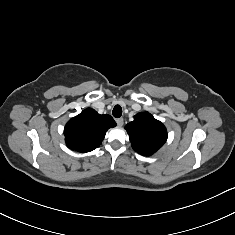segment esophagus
I'll return each mask as SVG.
<instances>
[{
    "label": "esophagus",
    "instance_id": "34e87169",
    "mask_svg": "<svg viewBox=\"0 0 235 235\" xmlns=\"http://www.w3.org/2000/svg\"><path fill=\"white\" fill-rule=\"evenodd\" d=\"M116 123H117V125L120 126V127L123 126V124H124L123 118H117V119H116Z\"/></svg>",
    "mask_w": 235,
    "mask_h": 235
}]
</instances>
